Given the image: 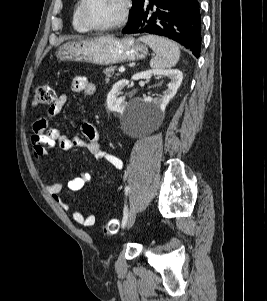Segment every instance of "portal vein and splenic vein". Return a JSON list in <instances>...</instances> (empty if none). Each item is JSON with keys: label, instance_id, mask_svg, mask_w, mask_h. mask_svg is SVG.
<instances>
[{"label": "portal vein and splenic vein", "instance_id": "1", "mask_svg": "<svg viewBox=\"0 0 267 301\" xmlns=\"http://www.w3.org/2000/svg\"><path fill=\"white\" fill-rule=\"evenodd\" d=\"M118 71H119L120 73L125 72V67H120V68L118 69Z\"/></svg>", "mask_w": 267, "mask_h": 301}]
</instances>
